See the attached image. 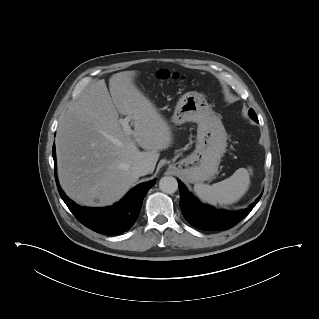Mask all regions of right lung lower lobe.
Wrapping results in <instances>:
<instances>
[{
	"instance_id": "98d812e1",
	"label": "right lung lower lobe",
	"mask_w": 319,
	"mask_h": 319,
	"mask_svg": "<svg viewBox=\"0 0 319 319\" xmlns=\"http://www.w3.org/2000/svg\"><path fill=\"white\" fill-rule=\"evenodd\" d=\"M52 153L56 164L55 144L53 145ZM56 182L61 198L73 215L89 229L105 235H120L131 228L140 213L142 200L148 190L155 184L153 180L137 185L120 202L113 206L86 208L76 205L64 194L58 183L57 176Z\"/></svg>"
}]
</instances>
